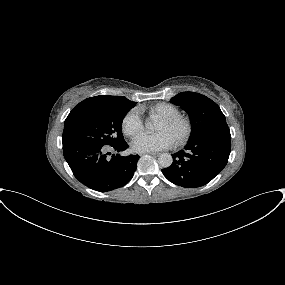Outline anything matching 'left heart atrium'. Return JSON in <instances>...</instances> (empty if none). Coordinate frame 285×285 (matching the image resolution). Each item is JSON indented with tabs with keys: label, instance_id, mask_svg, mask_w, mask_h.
Returning a JSON list of instances; mask_svg holds the SVG:
<instances>
[{
	"label": "left heart atrium",
	"instance_id": "1",
	"mask_svg": "<svg viewBox=\"0 0 285 285\" xmlns=\"http://www.w3.org/2000/svg\"><path fill=\"white\" fill-rule=\"evenodd\" d=\"M174 141L165 132H159L153 135L141 134L132 142V150L138 153L163 150L170 148Z\"/></svg>",
	"mask_w": 285,
	"mask_h": 285
}]
</instances>
